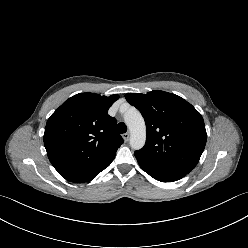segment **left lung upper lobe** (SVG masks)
<instances>
[{"instance_id": "obj_1", "label": "left lung upper lobe", "mask_w": 248, "mask_h": 248, "mask_svg": "<svg viewBox=\"0 0 248 248\" xmlns=\"http://www.w3.org/2000/svg\"><path fill=\"white\" fill-rule=\"evenodd\" d=\"M125 98L146 123V143L135 152L138 162L188 174L207 140L201 114L183 98L164 91L130 93Z\"/></svg>"}]
</instances>
